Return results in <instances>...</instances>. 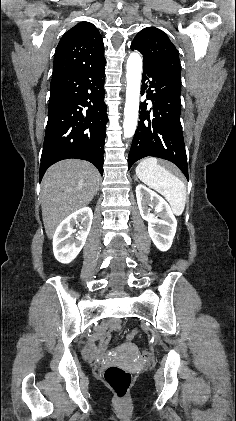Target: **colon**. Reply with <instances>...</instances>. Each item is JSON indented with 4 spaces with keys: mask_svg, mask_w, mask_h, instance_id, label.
Listing matches in <instances>:
<instances>
[{
    "mask_svg": "<svg viewBox=\"0 0 236 421\" xmlns=\"http://www.w3.org/2000/svg\"><path fill=\"white\" fill-rule=\"evenodd\" d=\"M109 341V336H105L100 341V348L105 349ZM153 353L151 350H144L142 356L144 359H150ZM104 380L107 386L114 392L116 397L123 400L128 395V392L133 383V375L130 371L117 366L111 365L106 368L104 372Z\"/></svg>",
    "mask_w": 236,
    "mask_h": 421,
    "instance_id": "colon-1",
    "label": "colon"
}]
</instances>
